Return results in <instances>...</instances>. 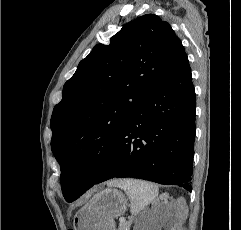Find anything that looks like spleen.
<instances>
[{
	"label": "spleen",
	"instance_id": "1",
	"mask_svg": "<svg viewBox=\"0 0 241 230\" xmlns=\"http://www.w3.org/2000/svg\"><path fill=\"white\" fill-rule=\"evenodd\" d=\"M110 187L123 189L130 199V212L138 215L149 203L158 196V187L146 181L123 179L108 183Z\"/></svg>",
	"mask_w": 241,
	"mask_h": 230
}]
</instances>
